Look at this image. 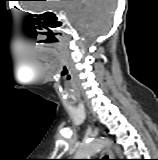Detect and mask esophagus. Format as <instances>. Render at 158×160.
Here are the masks:
<instances>
[{"label":"esophagus","mask_w":158,"mask_h":160,"mask_svg":"<svg viewBox=\"0 0 158 160\" xmlns=\"http://www.w3.org/2000/svg\"><path fill=\"white\" fill-rule=\"evenodd\" d=\"M103 152L108 155L109 159H114V155L109 148H105Z\"/></svg>","instance_id":"34e87169"}]
</instances>
